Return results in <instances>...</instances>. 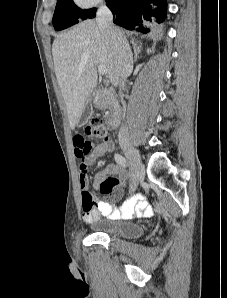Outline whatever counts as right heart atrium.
Instances as JSON below:
<instances>
[{"label": "right heart atrium", "mask_w": 227, "mask_h": 298, "mask_svg": "<svg viewBox=\"0 0 227 298\" xmlns=\"http://www.w3.org/2000/svg\"><path fill=\"white\" fill-rule=\"evenodd\" d=\"M73 1L78 7L82 9H89L100 4L103 0H73Z\"/></svg>", "instance_id": "obj_1"}]
</instances>
